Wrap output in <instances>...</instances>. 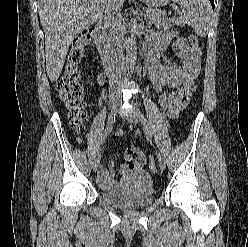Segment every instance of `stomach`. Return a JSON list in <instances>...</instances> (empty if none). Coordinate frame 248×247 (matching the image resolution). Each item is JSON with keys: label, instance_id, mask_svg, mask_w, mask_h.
Here are the masks:
<instances>
[{"label": "stomach", "instance_id": "obj_1", "mask_svg": "<svg viewBox=\"0 0 248 247\" xmlns=\"http://www.w3.org/2000/svg\"><path fill=\"white\" fill-rule=\"evenodd\" d=\"M141 1L149 7H160L168 2V0H141Z\"/></svg>", "mask_w": 248, "mask_h": 247}]
</instances>
